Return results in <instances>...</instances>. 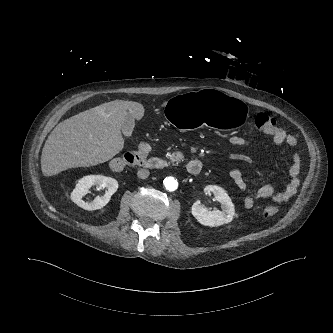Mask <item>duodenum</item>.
Returning <instances> with one entry per match:
<instances>
[{
	"instance_id": "1",
	"label": "duodenum",
	"mask_w": 333,
	"mask_h": 333,
	"mask_svg": "<svg viewBox=\"0 0 333 333\" xmlns=\"http://www.w3.org/2000/svg\"><path fill=\"white\" fill-rule=\"evenodd\" d=\"M144 167L151 170H162L166 168L167 162L161 158H150L144 162ZM203 165L199 159H191L186 164L187 172L191 175H198L202 171Z\"/></svg>"
}]
</instances>
